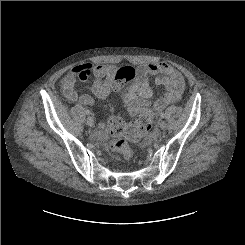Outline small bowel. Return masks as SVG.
<instances>
[{
  "label": "small bowel",
  "mask_w": 245,
  "mask_h": 245,
  "mask_svg": "<svg viewBox=\"0 0 245 245\" xmlns=\"http://www.w3.org/2000/svg\"><path fill=\"white\" fill-rule=\"evenodd\" d=\"M124 70L125 68L117 69L114 65L103 64L78 66L65 76L62 83L63 93L71 102L90 105L93 103L91 96L77 93V81H87L93 75L95 79L91 85V91L99 99H105L117 84V79ZM150 76L156 77L155 84L157 86L165 88V93L153 105L154 111L161 112L168 105L177 102L183 94L185 82L181 73L174 67L164 62H150L140 65L135 69L133 82L123 97L125 107L130 114H135L144 108L152 97L153 91L149 85ZM106 133L105 124H100L99 135L104 137Z\"/></svg>",
  "instance_id": "small-bowel-1"
}]
</instances>
